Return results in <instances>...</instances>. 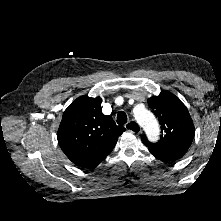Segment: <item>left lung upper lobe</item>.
I'll return each mask as SVG.
<instances>
[{"label":"left lung upper lobe","instance_id":"1","mask_svg":"<svg viewBox=\"0 0 221 221\" xmlns=\"http://www.w3.org/2000/svg\"><path fill=\"white\" fill-rule=\"evenodd\" d=\"M148 105L158 117L162 133L156 143L149 142L146 136L141 137L148 148L170 151L191 145L195 134L194 125L187 108L177 96L162 91L159 96L149 98Z\"/></svg>","mask_w":221,"mask_h":221}]
</instances>
